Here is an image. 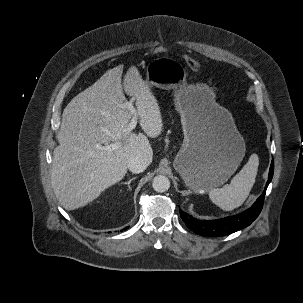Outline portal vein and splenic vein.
Masks as SVG:
<instances>
[{"label": "portal vein and splenic vein", "mask_w": 303, "mask_h": 303, "mask_svg": "<svg viewBox=\"0 0 303 303\" xmlns=\"http://www.w3.org/2000/svg\"><path fill=\"white\" fill-rule=\"evenodd\" d=\"M125 107L131 112V114L133 115V118L131 119L130 123L128 124V127L125 130V134H128L129 132H131L137 125V112L136 109L134 108L132 102H127L125 104ZM96 147L98 149L101 150H105V151H113L115 149L118 148V144L114 143V144H110V145H106V146H102L100 144H97Z\"/></svg>", "instance_id": "obj_1"}]
</instances>
